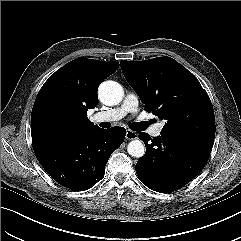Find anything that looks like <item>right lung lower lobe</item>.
Instances as JSON below:
<instances>
[{
	"label": "right lung lower lobe",
	"instance_id": "98d812e1",
	"mask_svg": "<svg viewBox=\"0 0 241 241\" xmlns=\"http://www.w3.org/2000/svg\"><path fill=\"white\" fill-rule=\"evenodd\" d=\"M126 129L96 128L68 141L35 150L45 171L58 183L75 191L100 181L113 151L124 141Z\"/></svg>",
	"mask_w": 241,
	"mask_h": 241
}]
</instances>
